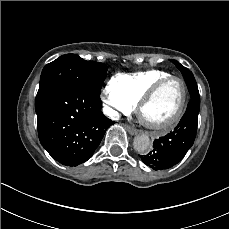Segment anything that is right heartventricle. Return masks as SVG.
Segmentation results:
<instances>
[{"mask_svg":"<svg viewBox=\"0 0 229 229\" xmlns=\"http://www.w3.org/2000/svg\"><path fill=\"white\" fill-rule=\"evenodd\" d=\"M172 75L161 69H149L145 71L118 73L113 78L117 90L127 97L138 102L142 95L152 88L159 80Z\"/></svg>","mask_w":229,"mask_h":229,"instance_id":"1","label":"right heart ventricle"}]
</instances>
